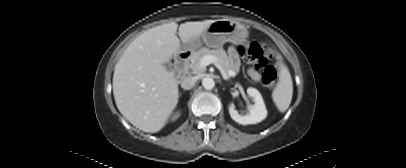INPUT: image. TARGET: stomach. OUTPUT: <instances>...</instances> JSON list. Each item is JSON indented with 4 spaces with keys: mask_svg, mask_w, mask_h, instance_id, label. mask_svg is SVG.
<instances>
[{
    "mask_svg": "<svg viewBox=\"0 0 406 168\" xmlns=\"http://www.w3.org/2000/svg\"><path fill=\"white\" fill-rule=\"evenodd\" d=\"M248 37L247 28L237 21L221 19L214 21L199 37L191 39L184 49L192 52L199 49L204 43L211 48L223 46L225 42L241 44Z\"/></svg>",
    "mask_w": 406,
    "mask_h": 168,
    "instance_id": "1",
    "label": "stomach"
}]
</instances>
